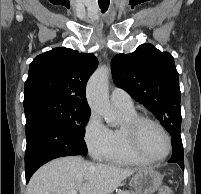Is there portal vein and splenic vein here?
<instances>
[{
    "label": "portal vein and splenic vein",
    "mask_w": 201,
    "mask_h": 194,
    "mask_svg": "<svg viewBox=\"0 0 201 194\" xmlns=\"http://www.w3.org/2000/svg\"><path fill=\"white\" fill-rule=\"evenodd\" d=\"M67 194H78L76 190H71Z\"/></svg>",
    "instance_id": "obj_1"
}]
</instances>
